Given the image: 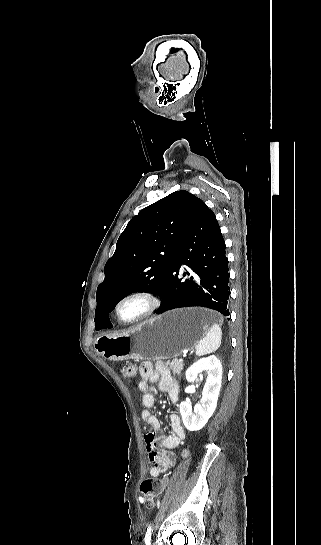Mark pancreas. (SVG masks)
Wrapping results in <instances>:
<instances>
[{"label":"pancreas","mask_w":321,"mask_h":545,"mask_svg":"<svg viewBox=\"0 0 321 545\" xmlns=\"http://www.w3.org/2000/svg\"><path fill=\"white\" fill-rule=\"evenodd\" d=\"M165 365L166 367H169L171 371H173L174 375H180L184 367V363H180V361H177V359H172V361H166Z\"/></svg>","instance_id":"pancreas-1"}]
</instances>
